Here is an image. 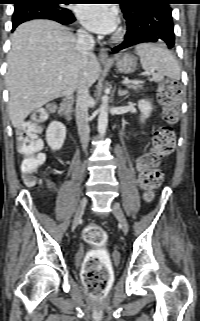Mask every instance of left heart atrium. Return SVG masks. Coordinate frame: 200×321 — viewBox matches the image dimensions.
I'll use <instances>...</instances> for the list:
<instances>
[{"mask_svg": "<svg viewBox=\"0 0 200 321\" xmlns=\"http://www.w3.org/2000/svg\"><path fill=\"white\" fill-rule=\"evenodd\" d=\"M77 16L87 29L101 34L111 33L118 23L115 10L106 4H82Z\"/></svg>", "mask_w": 200, "mask_h": 321, "instance_id": "39dd6f15", "label": "left heart atrium"}]
</instances>
